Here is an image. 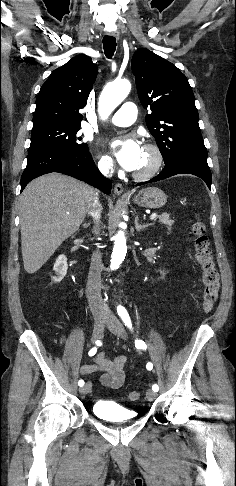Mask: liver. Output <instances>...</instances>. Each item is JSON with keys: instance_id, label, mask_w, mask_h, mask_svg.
Listing matches in <instances>:
<instances>
[{"instance_id": "6515ba94", "label": "liver", "mask_w": 236, "mask_h": 486, "mask_svg": "<svg viewBox=\"0 0 236 486\" xmlns=\"http://www.w3.org/2000/svg\"><path fill=\"white\" fill-rule=\"evenodd\" d=\"M92 187L50 173L31 181L20 196L24 269L33 274L82 224L93 202Z\"/></svg>"}]
</instances>
